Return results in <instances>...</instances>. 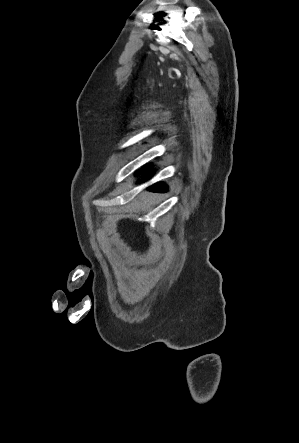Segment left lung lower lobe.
<instances>
[{
  "label": "left lung lower lobe",
  "instance_id": "0a47b994",
  "mask_svg": "<svg viewBox=\"0 0 299 443\" xmlns=\"http://www.w3.org/2000/svg\"><path fill=\"white\" fill-rule=\"evenodd\" d=\"M167 189V187L165 185H163L162 183H158L153 185L150 188V191H154V192H165Z\"/></svg>",
  "mask_w": 299,
  "mask_h": 443
}]
</instances>
